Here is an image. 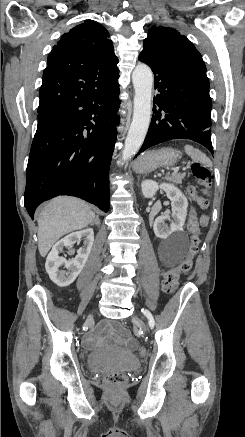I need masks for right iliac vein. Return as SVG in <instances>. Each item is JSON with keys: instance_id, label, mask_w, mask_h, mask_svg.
Instances as JSON below:
<instances>
[{"instance_id": "1", "label": "right iliac vein", "mask_w": 245, "mask_h": 437, "mask_svg": "<svg viewBox=\"0 0 245 437\" xmlns=\"http://www.w3.org/2000/svg\"><path fill=\"white\" fill-rule=\"evenodd\" d=\"M92 320V315H90L88 318H87V322H90Z\"/></svg>"}]
</instances>
